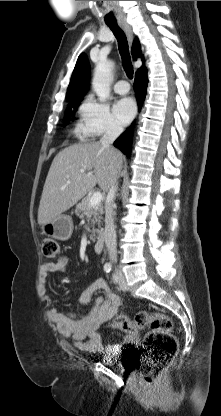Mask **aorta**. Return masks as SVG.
<instances>
[{
  "instance_id": "762f6f07",
  "label": "aorta",
  "mask_w": 221,
  "mask_h": 416,
  "mask_svg": "<svg viewBox=\"0 0 221 416\" xmlns=\"http://www.w3.org/2000/svg\"><path fill=\"white\" fill-rule=\"evenodd\" d=\"M113 67L111 61H101L95 67L92 87L100 101H106L109 97Z\"/></svg>"
}]
</instances>
